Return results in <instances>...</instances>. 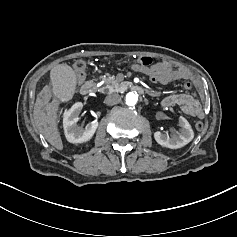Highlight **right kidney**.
<instances>
[{"label":"right kidney","instance_id":"1","mask_svg":"<svg viewBox=\"0 0 237 237\" xmlns=\"http://www.w3.org/2000/svg\"><path fill=\"white\" fill-rule=\"evenodd\" d=\"M82 108L83 104L76 102L64 117V133L67 141L70 143H83L90 140L98 127L97 121H92L85 128L77 123Z\"/></svg>","mask_w":237,"mask_h":237}]
</instances>
